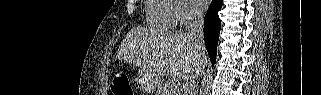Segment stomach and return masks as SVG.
Listing matches in <instances>:
<instances>
[{"label": "stomach", "instance_id": "obj_1", "mask_svg": "<svg viewBox=\"0 0 321 95\" xmlns=\"http://www.w3.org/2000/svg\"><path fill=\"white\" fill-rule=\"evenodd\" d=\"M137 85L143 91H153L156 88L157 80L145 71H140L137 75Z\"/></svg>", "mask_w": 321, "mask_h": 95}]
</instances>
